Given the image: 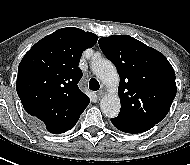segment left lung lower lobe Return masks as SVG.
<instances>
[{
  "instance_id": "0a47b994",
  "label": "left lung lower lobe",
  "mask_w": 190,
  "mask_h": 165,
  "mask_svg": "<svg viewBox=\"0 0 190 165\" xmlns=\"http://www.w3.org/2000/svg\"><path fill=\"white\" fill-rule=\"evenodd\" d=\"M112 124L120 131L125 133H141L145 132L152 127H154L155 124L151 123H139V122H133L129 120H125L120 117L112 118L111 119Z\"/></svg>"
}]
</instances>
